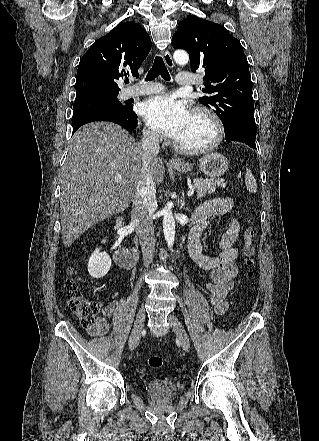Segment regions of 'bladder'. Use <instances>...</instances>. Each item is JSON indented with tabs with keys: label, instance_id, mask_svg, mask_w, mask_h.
<instances>
[{
	"label": "bladder",
	"instance_id": "1",
	"mask_svg": "<svg viewBox=\"0 0 319 441\" xmlns=\"http://www.w3.org/2000/svg\"><path fill=\"white\" fill-rule=\"evenodd\" d=\"M144 386H145L146 388H149V387H150V384H149L148 382H145V383H144Z\"/></svg>",
	"mask_w": 319,
	"mask_h": 441
}]
</instances>
